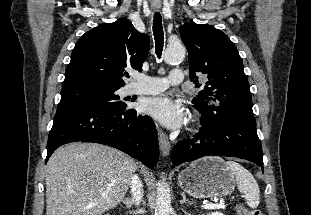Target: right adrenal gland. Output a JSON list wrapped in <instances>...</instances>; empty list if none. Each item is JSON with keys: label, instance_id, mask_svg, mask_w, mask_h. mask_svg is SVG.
Instances as JSON below:
<instances>
[{"label": "right adrenal gland", "instance_id": "1", "mask_svg": "<svg viewBox=\"0 0 311 215\" xmlns=\"http://www.w3.org/2000/svg\"><path fill=\"white\" fill-rule=\"evenodd\" d=\"M123 202L127 207H131L134 204V200L130 198H125Z\"/></svg>", "mask_w": 311, "mask_h": 215}]
</instances>
